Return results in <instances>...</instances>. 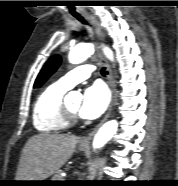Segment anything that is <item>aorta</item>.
Masks as SVG:
<instances>
[{
	"label": "aorta",
	"instance_id": "1",
	"mask_svg": "<svg viewBox=\"0 0 178 186\" xmlns=\"http://www.w3.org/2000/svg\"><path fill=\"white\" fill-rule=\"evenodd\" d=\"M94 52V46L91 43L79 44L72 48L69 52V62L72 64H79L85 61ZM105 55L113 60V53L109 48H104ZM77 96L75 92H70L67 98L71 99ZM118 123L116 120L106 122L96 133L93 139V148H102L116 133Z\"/></svg>",
	"mask_w": 178,
	"mask_h": 186
}]
</instances>
